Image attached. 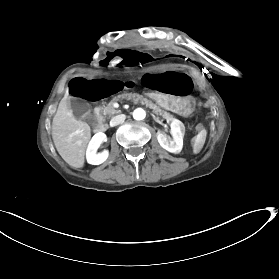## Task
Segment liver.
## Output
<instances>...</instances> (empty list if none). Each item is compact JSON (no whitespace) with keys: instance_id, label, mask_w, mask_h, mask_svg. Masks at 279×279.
Segmentation results:
<instances>
[{"instance_id":"liver-1","label":"liver","mask_w":279,"mask_h":279,"mask_svg":"<svg viewBox=\"0 0 279 279\" xmlns=\"http://www.w3.org/2000/svg\"><path fill=\"white\" fill-rule=\"evenodd\" d=\"M51 135L61 158L71 167H82L91 131L86 122L78 121L74 116L69 106L68 93L59 102L52 120Z\"/></svg>"}]
</instances>
